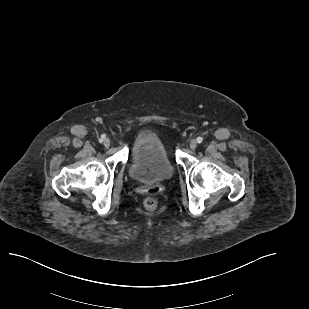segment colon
<instances>
[{
    "label": "colon",
    "mask_w": 309,
    "mask_h": 309,
    "mask_svg": "<svg viewBox=\"0 0 309 309\" xmlns=\"http://www.w3.org/2000/svg\"><path fill=\"white\" fill-rule=\"evenodd\" d=\"M144 207L149 211L155 210L157 207V201L152 197H148L144 200Z\"/></svg>",
    "instance_id": "1"
}]
</instances>
